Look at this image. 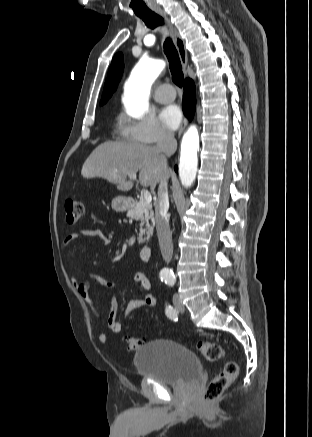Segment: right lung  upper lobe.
<instances>
[{
	"mask_svg": "<svg viewBox=\"0 0 312 437\" xmlns=\"http://www.w3.org/2000/svg\"><path fill=\"white\" fill-rule=\"evenodd\" d=\"M123 68H124L123 54L117 53L112 59L111 66L108 71L100 105L106 103V101L110 98L112 93L116 90L123 73Z\"/></svg>",
	"mask_w": 312,
	"mask_h": 437,
	"instance_id": "1",
	"label": "right lung upper lobe"
}]
</instances>
